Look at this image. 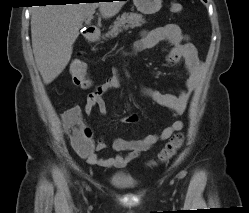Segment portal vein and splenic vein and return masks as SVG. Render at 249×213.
I'll return each mask as SVG.
<instances>
[{"label":"portal vein and splenic vein","instance_id":"1","mask_svg":"<svg viewBox=\"0 0 249 213\" xmlns=\"http://www.w3.org/2000/svg\"><path fill=\"white\" fill-rule=\"evenodd\" d=\"M91 19H92V15H90V16L87 18L86 23H90Z\"/></svg>","mask_w":249,"mask_h":213}]
</instances>
